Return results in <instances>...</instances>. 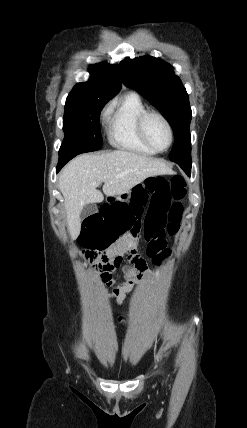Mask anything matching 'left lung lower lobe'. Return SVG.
I'll list each match as a JSON object with an SVG mask.
<instances>
[{
    "instance_id": "0a47b994",
    "label": "left lung lower lobe",
    "mask_w": 247,
    "mask_h": 428,
    "mask_svg": "<svg viewBox=\"0 0 247 428\" xmlns=\"http://www.w3.org/2000/svg\"><path fill=\"white\" fill-rule=\"evenodd\" d=\"M177 163L182 169L183 171L190 176L191 173V162H175Z\"/></svg>"
}]
</instances>
